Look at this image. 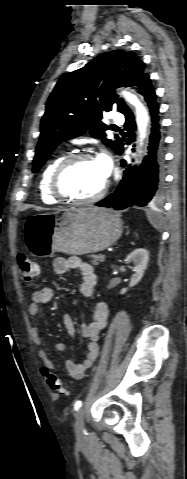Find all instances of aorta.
I'll list each match as a JSON object with an SVG mask.
<instances>
[{
	"instance_id": "762f6f07",
	"label": "aorta",
	"mask_w": 187,
	"mask_h": 479,
	"mask_svg": "<svg viewBox=\"0 0 187 479\" xmlns=\"http://www.w3.org/2000/svg\"><path fill=\"white\" fill-rule=\"evenodd\" d=\"M124 98L133 106L136 108V114H137V125L140 133V140L142 141L145 136H146V129H147V124H148V113L145 109V107L142 105V103L138 100V98L129 93L124 91L123 92Z\"/></svg>"
}]
</instances>
